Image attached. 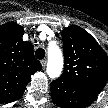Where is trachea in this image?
Segmentation results:
<instances>
[{"instance_id":"trachea-1","label":"trachea","mask_w":108,"mask_h":108,"mask_svg":"<svg viewBox=\"0 0 108 108\" xmlns=\"http://www.w3.org/2000/svg\"><path fill=\"white\" fill-rule=\"evenodd\" d=\"M36 58L41 60L45 57V50L42 48H38L35 52Z\"/></svg>"}]
</instances>
